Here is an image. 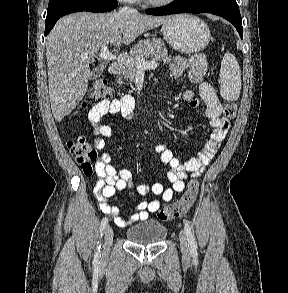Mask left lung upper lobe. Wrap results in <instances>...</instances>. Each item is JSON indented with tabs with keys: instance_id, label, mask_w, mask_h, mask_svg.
I'll return each instance as SVG.
<instances>
[{
	"instance_id": "1",
	"label": "left lung upper lobe",
	"mask_w": 288,
	"mask_h": 293,
	"mask_svg": "<svg viewBox=\"0 0 288 293\" xmlns=\"http://www.w3.org/2000/svg\"><path fill=\"white\" fill-rule=\"evenodd\" d=\"M195 1H201V0H195ZM227 2H230V3H236V0H225Z\"/></svg>"
}]
</instances>
